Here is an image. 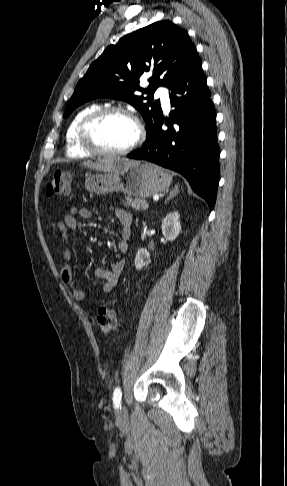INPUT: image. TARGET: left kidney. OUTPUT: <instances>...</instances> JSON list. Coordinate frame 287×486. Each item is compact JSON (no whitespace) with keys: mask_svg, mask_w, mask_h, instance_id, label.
I'll return each mask as SVG.
<instances>
[{"mask_svg":"<svg viewBox=\"0 0 287 486\" xmlns=\"http://www.w3.org/2000/svg\"><path fill=\"white\" fill-rule=\"evenodd\" d=\"M162 234L168 241H174L181 231L180 215L177 211L171 212L164 218L162 225ZM151 262L150 254L147 249L140 248L135 256V267L140 270Z\"/></svg>","mask_w":287,"mask_h":486,"instance_id":"left-kidney-1","label":"left kidney"}]
</instances>
